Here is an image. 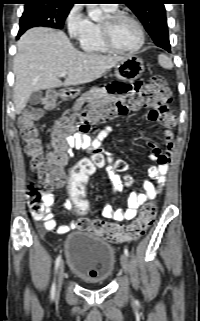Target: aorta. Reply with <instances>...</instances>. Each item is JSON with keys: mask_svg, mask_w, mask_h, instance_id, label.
I'll return each instance as SVG.
<instances>
[{"mask_svg": "<svg viewBox=\"0 0 200 321\" xmlns=\"http://www.w3.org/2000/svg\"><path fill=\"white\" fill-rule=\"evenodd\" d=\"M87 5H88L87 6L88 16L94 21L99 20L102 16L101 9L97 6V4H87Z\"/></svg>", "mask_w": 200, "mask_h": 321, "instance_id": "aorta-1", "label": "aorta"}]
</instances>
